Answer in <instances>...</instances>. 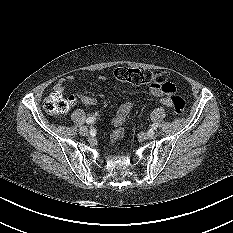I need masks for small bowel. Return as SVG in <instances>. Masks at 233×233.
Listing matches in <instances>:
<instances>
[{
  "label": "small bowel",
  "mask_w": 233,
  "mask_h": 233,
  "mask_svg": "<svg viewBox=\"0 0 233 233\" xmlns=\"http://www.w3.org/2000/svg\"><path fill=\"white\" fill-rule=\"evenodd\" d=\"M74 77L69 75L66 76L65 78L60 79L57 84L54 86V92L63 94V92L65 91V84L67 82H71L73 81ZM100 80H104L105 77L100 76L99 77ZM150 93L156 97H161L160 102L169 108H172V103L169 99V97H165L166 93L165 91H163L162 89L155 87V86H151L149 89ZM70 97L73 98L74 101L76 100H80L83 104L86 105H93L96 103V100L94 98L91 97H87L85 95H83L82 93H75L73 95H71ZM133 107V103L132 102H125L124 104H122L119 109L117 110L115 116L113 117L112 123L115 127L113 134H112V139L113 141H118L120 140L123 135H124V130L122 129V125L125 122L128 114L130 113L131 109Z\"/></svg>",
  "instance_id": "obj_1"
}]
</instances>
